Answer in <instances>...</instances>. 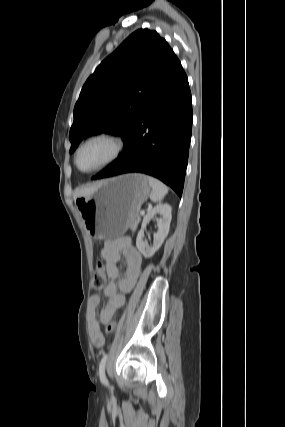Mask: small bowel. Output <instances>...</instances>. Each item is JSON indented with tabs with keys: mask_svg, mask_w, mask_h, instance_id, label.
<instances>
[{
	"mask_svg": "<svg viewBox=\"0 0 285 427\" xmlns=\"http://www.w3.org/2000/svg\"><path fill=\"white\" fill-rule=\"evenodd\" d=\"M101 255L106 262V273L109 282L104 288L107 303L100 312L99 320L102 324H108L114 313L123 306L125 301L124 294L128 293L135 285L140 274L142 257L134 247L130 237H120L106 241L101 250ZM122 257L126 260V273L117 283L119 277L118 263ZM99 303L100 295L98 293L93 294L90 298L92 309L95 310ZM100 323L94 319L91 326L90 336L95 347H101L105 342Z\"/></svg>",
	"mask_w": 285,
	"mask_h": 427,
	"instance_id": "obj_1",
	"label": "small bowel"
}]
</instances>
